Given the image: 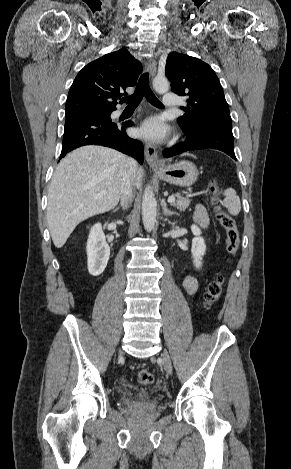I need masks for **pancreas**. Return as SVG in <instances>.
Masks as SVG:
<instances>
[{
	"label": "pancreas",
	"instance_id": "obj_1",
	"mask_svg": "<svg viewBox=\"0 0 291 469\" xmlns=\"http://www.w3.org/2000/svg\"><path fill=\"white\" fill-rule=\"evenodd\" d=\"M175 196L177 197V200L172 203L174 207L178 208L180 211H184L188 208L190 204L188 197H182L179 193L175 194Z\"/></svg>",
	"mask_w": 291,
	"mask_h": 469
}]
</instances>
